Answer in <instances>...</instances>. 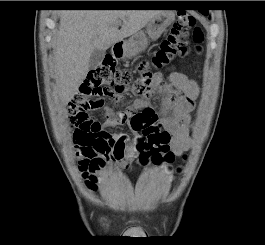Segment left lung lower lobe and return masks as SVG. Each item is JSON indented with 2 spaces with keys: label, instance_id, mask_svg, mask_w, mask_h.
Returning <instances> with one entry per match:
<instances>
[{
  "label": "left lung lower lobe",
  "instance_id": "obj_1",
  "mask_svg": "<svg viewBox=\"0 0 265 245\" xmlns=\"http://www.w3.org/2000/svg\"><path fill=\"white\" fill-rule=\"evenodd\" d=\"M202 14L206 15L207 14V10H199Z\"/></svg>",
  "mask_w": 265,
  "mask_h": 245
}]
</instances>
